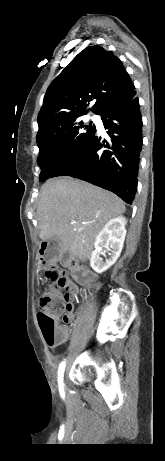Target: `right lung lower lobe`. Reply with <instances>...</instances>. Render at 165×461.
<instances>
[{"mask_svg": "<svg viewBox=\"0 0 165 461\" xmlns=\"http://www.w3.org/2000/svg\"><path fill=\"white\" fill-rule=\"evenodd\" d=\"M101 116L111 138L110 141L101 140L95 130L81 149L51 178L57 176L78 178L112 191L126 203L131 204L137 190L142 150L139 100L134 97Z\"/></svg>", "mask_w": 165, "mask_h": 461, "instance_id": "1", "label": "right lung lower lobe"}]
</instances>
